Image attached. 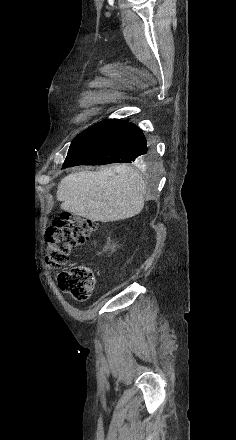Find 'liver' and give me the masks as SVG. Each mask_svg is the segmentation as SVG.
Here are the masks:
<instances>
[{"instance_id": "liver-1", "label": "liver", "mask_w": 236, "mask_h": 440, "mask_svg": "<svg viewBox=\"0 0 236 440\" xmlns=\"http://www.w3.org/2000/svg\"><path fill=\"white\" fill-rule=\"evenodd\" d=\"M146 186L140 174L121 164L65 176L57 187L61 209L91 221L113 222L138 215Z\"/></svg>"}]
</instances>
